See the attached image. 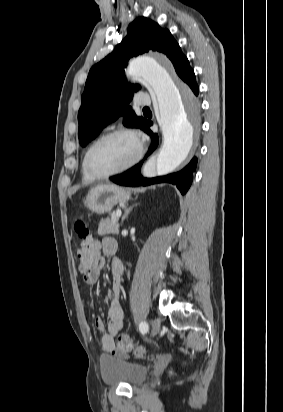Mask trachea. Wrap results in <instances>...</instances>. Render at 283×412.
Instances as JSON below:
<instances>
[{
	"instance_id": "obj_1",
	"label": "trachea",
	"mask_w": 283,
	"mask_h": 412,
	"mask_svg": "<svg viewBox=\"0 0 283 412\" xmlns=\"http://www.w3.org/2000/svg\"><path fill=\"white\" fill-rule=\"evenodd\" d=\"M144 112L150 111V109L148 107L143 108Z\"/></svg>"
}]
</instances>
